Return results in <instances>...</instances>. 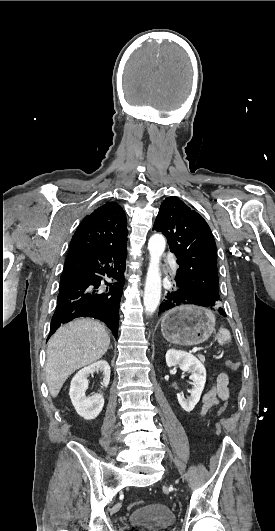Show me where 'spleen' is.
<instances>
[{"label":"spleen","instance_id":"1","mask_svg":"<svg viewBox=\"0 0 275 531\" xmlns=\"http://www.w3.org/2000/svg\"><path fill=\"white\" fill-rule=\"evenodd\" d=\"M219 345H225V343H230L231 341V335H230V331H228V329H219V333L216 337Z\"/></svg>","mask_w":275,"mask_h":531}]
</instances>
